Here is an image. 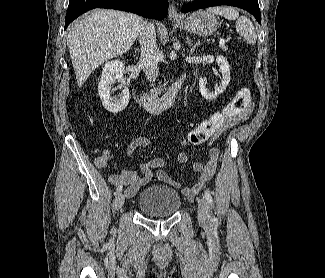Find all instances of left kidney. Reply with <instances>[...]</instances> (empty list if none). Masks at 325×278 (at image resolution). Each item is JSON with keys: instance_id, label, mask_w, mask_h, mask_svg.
<instances>
[{"instance_id": "obj_1", "label": "left kidney", "mask_w": 325, "mask_h": 278, "mask_svg": "<svg viewBox=\"0 0 325 278\" xmlns=\"http://www.w3.org/2000/svg\"><path fill=\"white\" fill-rule=\"evenodd\" d=\"M216 62L219 65L222 74L220 85L214 91H209L205 87V79H199V91L205 99L210 101L215 100L220 94H222L230 81V66L227 59L223 56H217Z\"/></svg>"}]
</instances>
